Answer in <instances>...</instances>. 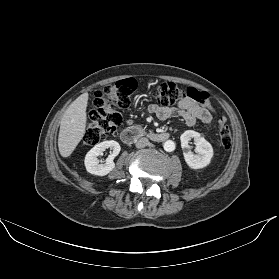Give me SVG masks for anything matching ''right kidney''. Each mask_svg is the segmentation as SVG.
I'll list each match as a JSON object with an SVG mask.
<instances>
[{
    "instance_id": "1",
    "label": "right kidney",
    "mask_w": 279,
    "mask_h": 279,
    "mask_svg": "<svg viewBox=\"0 0 279 279\" xmlns=\"http://www.w3.org/2000/svg\"><path fill=\"white\" fill-rule=\"evenodd\" d=\"M110 148V155L107 157L105 164H99L98 156L103 155V152ZM121 147L118 142L114 140L103 141L95 145L89 150L85 156L84 164L87 172L97 175L105 176L115 168L114 158L119 154Z\"/></svg>"
}]
</instances>
